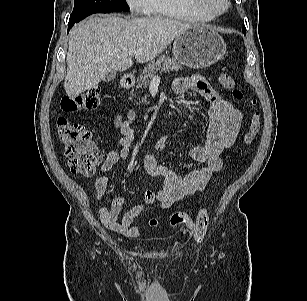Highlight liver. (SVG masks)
Returning a JSON list of instances; mask_svg holds the SVG:
<instances>
[{"mask_svg":"<svg viewBox=\"0 0 307 301\" xmlns=\"http://www.w3.org/2000/svg\"><path fill=\"white\" fill-rule=\"evenodd\" d=\"M191 27L160 16L123 19L106 15L79 23L69 34L66 94L73 99L98 85L110 71L127 70L133 65L132 50H136L137 62L152 61Z\"/></svg>","mask_w":307,"mask_h":301,"instance_id":"obj_1","label":"liver"}]
</instances>
